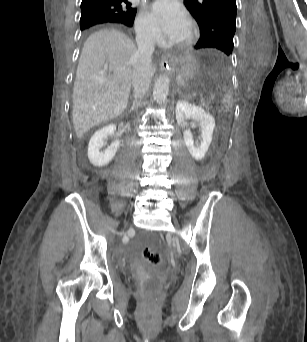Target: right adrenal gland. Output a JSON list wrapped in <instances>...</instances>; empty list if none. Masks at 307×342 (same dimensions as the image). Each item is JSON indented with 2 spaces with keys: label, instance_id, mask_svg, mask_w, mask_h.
I'll return each mask as SVG.
<instances>
[{
  "label": "right adrenal gland",
  "instance_id": "right-adrenal-gland-1",
  "mask_svg": "<svg viewBox=\"0 0 307 342\" xmlns=\"http://www.w3.org/2000/svg\"><path fill=\"white\" fill-rule=\"evenodd\" d=\"M133 110H135V106H132L130 112H133Z\"/></svg>",
  "mask_w": 307,
  "mask_h": 342
}]
</instances>
